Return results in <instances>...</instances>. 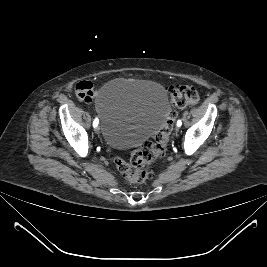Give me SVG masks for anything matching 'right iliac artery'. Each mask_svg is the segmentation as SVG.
I'll return each instance as SVG.
<instances>
[{
    "label": "right iliac artery",
    "mask_w": 267,
    "mask_h": 267,
    "mask_svg": "<svg viewBox=\"0 0 267 267\" xmlns=\"http://www.w3.org/2000/svg\"><path fill=\"white\" fill-rule=\"evenodd\" d=\"M98 125V119H95L93 122V126L96 127Z\"/></svg>",
    "instance_id": "82829eb1"
}]
</instances>
